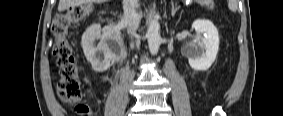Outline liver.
Listing matches in <instances>:
<instances>
[{"label": "liver", "instance_id": "1", "mask_svg": "<svg viewBox=\"0 0 283 116\" xmlns=\"http://www.w3.org/2000/svg\"><path fill=\"white\" fill-rule=\"evenodd\" d=\"M85 1L86 0H60L58 5V11L63 12L72 6H76Z\"/></svg>", "mask_w": 283, "mask_h": 116}]
</instances>
